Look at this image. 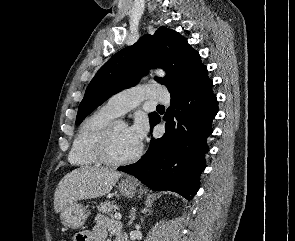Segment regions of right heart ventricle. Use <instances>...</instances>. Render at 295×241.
<instances>
[{"mask_svg":"<svg viewBox=\"0 0 295 241\" xmlns=\"http://www.w3.org/2000/svg\"><path fill=\"white\" fill-rule=\"evenodd\" d=\"M118 115L103 106L88 116L77 132L69 153V161L78 167H93L101 164L97 156V144L107 126Z\"/></svg>","mask_w":295,"mask_h":241,"instance_id":"obj_1","label":"right heart ventricle"}]
</instances>
